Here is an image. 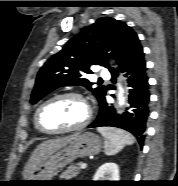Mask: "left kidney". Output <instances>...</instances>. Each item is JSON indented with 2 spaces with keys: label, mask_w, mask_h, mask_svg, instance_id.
Returning <instances> with one entry per match:
<instances>
[{
  "label": "left kidney",
  "mask_w": 178,
  "mask_h": 186,
  "mask_svg": "<svg viewBox=\"0 0 178 186\" xmlns=\"http://www.w3.org/2000/svg\"><path fill=\"white\" fill-rule=\"evenodd\" d=\"M119 167L116 163H104L96 171L93 181H119Z\"/></svg>",
  "instance_id": "obj_1"
}]
</instances>
